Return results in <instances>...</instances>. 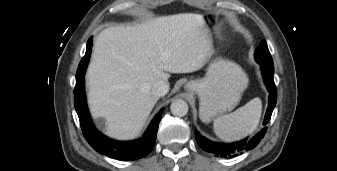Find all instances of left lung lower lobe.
Wrapping results in <instances>:
<instances>
[{"label": "left lung lower lobe", "instance_id": "1", "mask_svg": "<svg viewBox=\"0 0 337 171\" xmlns=\"http://www.w3.org/2000/svg\"><path fill=\"white\" fill-rule=\"evenodd\" d=\"M262 71V75L264 78V82L269 91V105L265 114V120L263 125H266L272 115L273 109L276 105L277 100V90L274 83V66L266 65L263 63H259ZM267 127H264L260 132H258L251 139L243 140L241 142H236L232 144H218L211 142L204 137H202L198 131L195 130L196 140L199 146L207 152L213 153L216 157H234L238 154H241L243 151H248L255 148L261 139L264 137L266 133Z\"/></svg>", "mask_w": 337, "mask_h": 171}]
</instances>
